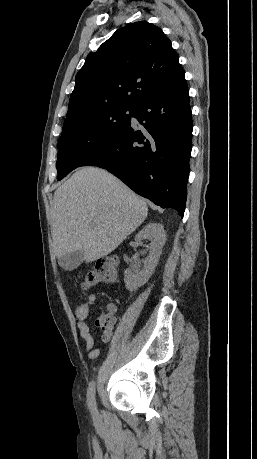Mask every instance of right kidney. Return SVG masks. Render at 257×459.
<instances>
[{
    "mask_svg": "<svg viewBox=\"0 0 257 459\" xmlns=\"http://www.w3.org/2000/svg\"><path fill=\"white\" fill-rule=\"evenodd\" d=\"M135 240L137 242L149 240L151 243L150 246H146L149 252L144 261V268L140 269L139 266H135L132 270H125L124 282L129 291H135L138 287L144 285L154 273L166 242L164 227L160 223H149L135 236Z\"/></svg>",
    "mask_w": 257,
    "mask_h": 459,
    "instance_id": "obj_1",
    "label": "right kidney"
}]
</instances>
